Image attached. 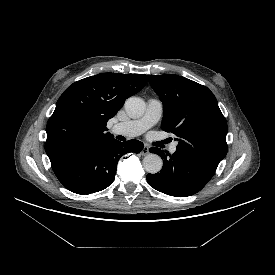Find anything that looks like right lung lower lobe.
Segmentation results:
<instances>
[{
    "label": "right lung lower lobe",
    "instance_id": "obj_1",
    "mask_svg": "<svg viewBox=\"0 0 275 275\" xmlns=\"http://www.w3.org/2000/svg\"><path fill=\"white\" fill-rule=\"evenodd\" d=\"M142 149L143 143L138 140L122 143L113 138L50 158V162L64 187L77 194H90L113 183L122 155Z\"/></svg>",
    "mask_w": 275,
    "mask_h": 275
}]
</instances>
